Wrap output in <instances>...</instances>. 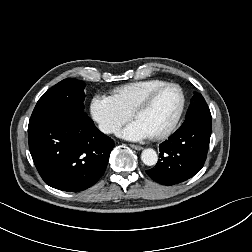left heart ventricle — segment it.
Instances as JSON below:
<instances>
[{
    "instance_id": "1",
    "label": "left heart ventricle",
    "mask_w": 252,
    "mask_h": 252,
    "mask_svg": "<svg viewBox=\"0 0 252 252\" xmlns=\"http://www.w3.org/2000/svg\"><path fill=\"white\" fill-rule=\"evenodd\" d=\"M181 104L180 92L169 87L157 94L152 104L140 112L136 119L140 120L153 135L163 132L173 122Z\"/></svg>"
}]
</instances>
